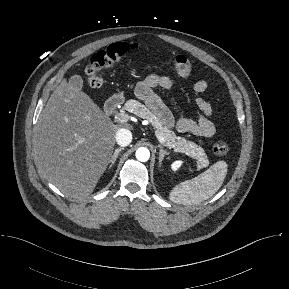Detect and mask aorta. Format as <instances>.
Segmentation results:
<instances>
[{
  "mask_svg": "<svg viewBox=\"0 0 289 289\" xmlns=\"http://www.w3.org/2000/svg\"><path fill=\"white\" fill-rule=\"evenodd\" d=\"M136 158L137 160L141 161V162H146L149 160L150 158V152L147 148L145 147H140L137 149L136 151Z\"/></svg>",
  "mask_w": 289,
  "mask_h": 289,
  "instance_id": "1",
  "label": "aorta"
}]
</instances>
